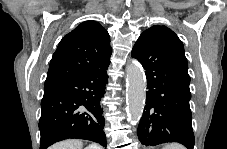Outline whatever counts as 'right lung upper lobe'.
<instances>
[{"label": "right lung upper lobe", "instance_id": "obj_1", "mask_svg": "<svg viewBox=\"0 0 227 149\" xmlns=\"http://www.w3.org/2000/svg\"><path fill=\"white\" fill-rule=\"evenodd\" d=\"M108 32L95 21H85L65 35L52 56L44 89L95 70L110 61Z\"/></svg>", "mask_w": 227, "mask_h": 149}]
</instances>
